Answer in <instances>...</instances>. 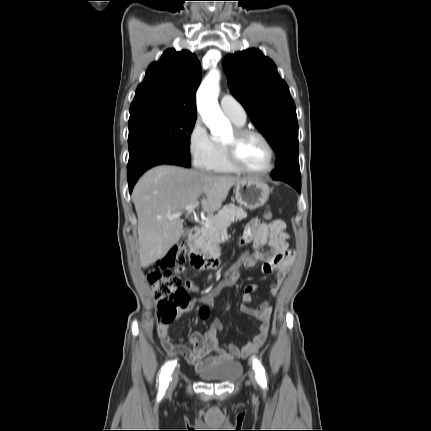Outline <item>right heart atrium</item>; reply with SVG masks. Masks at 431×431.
Masks as SVG:
<instances>
[{
  "mask_svg": "<svg viewBox=\"0 0 431 431\" xmlns=\"http://www.w3.org/2000/svg\"><path fill=\"white\" fill-rule=\"evenodd\" d=\"M188 152L195 168L211 171L218 154V143L209 134L200 118H197L187 137Z\"/></svg>",
  "mask_w": 431,
  "mask_h": 431,
  "instance_id": "obj_1",
  "label": "right heart atrium"
}]
</instances>
